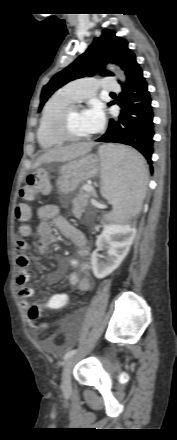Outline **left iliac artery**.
Wrapping results in <instances>:
<instances>
[{
    "instance_id": "left-iliac-artery-1",
    "label": "left iliac artery",
    "mask_w": 177,
    "mask_h": 440,
    "mask_svg": "<svg viewBox=\"0 0 177 440\" xmlns=\"http://www.w3.org/2000/svg\"><path fill=\"white\" fill-rule=\"evenodd\" d=\"M76 352H77V350H70V351H68V352L64 355V360H67L68 358H70L71 356H73Z\"/></svg>"
}]
</instances>
